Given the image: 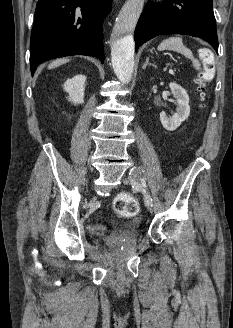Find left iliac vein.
<instances>
[{"label": "left iliac vein", "mask_w": 233, "mask_h": 328, "mask_svg": "<svg viewBox=\"0 0 233 328\" xmlns=\"http://www.w3.org/2000/svg\"><path fill=\"white\" fill-rule=\"evenodd\" d=\"M142 177V173L139 170V168L134 167L130 173L129 176L127 178L124 179V183L125 184H131L132 186H135L136 184L139 183L140 179ZM146 206L148 208V210L152 213L153 212V208L151 204L146 203Z\"/></svg>", "instance_id": "1"}]
</instances>
